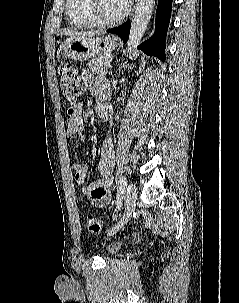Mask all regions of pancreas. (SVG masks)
Returning <instances> with one entry per match:
<instances>
[{
  "label": "pancreas",
  "instance_id": "obj_1",
  "mask_svg": "<svg viewBox=\"0 0 239 303\" xmlns=\"http://www.w3.org/2000/svg\"><path fill=\"white\" fill-rule=\"evenodd\" d=\"M108 61H109V58L107 56H103L100 58H95V59L90 60L87 65L93 71L105 75L108 72V69L105 67V63Z\"/></svg>",
  "mask_w": 239,
  "mask_h": 303
}]
</instances>
